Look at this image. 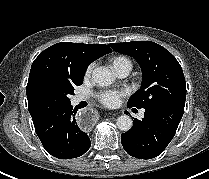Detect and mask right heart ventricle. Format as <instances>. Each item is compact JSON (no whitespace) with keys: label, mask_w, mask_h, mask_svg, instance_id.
<instances>
[{"label":"right heart ventricle","mask_w":209,"mask_h":179,"mask_svg":"<svg viewBox=\"0 0 209 179\" xmlns=\"http://www.w3.org/2000/svg\"><path fill=\"white\" fill-rule=\"evenodd\" d=\"M111 65L113 67V69L117 66H128V67H132L131 61L125 57V56H116L114 58L111 59Z\"/></svg>","instance_id":"e07e8e85"}]
</instances>
